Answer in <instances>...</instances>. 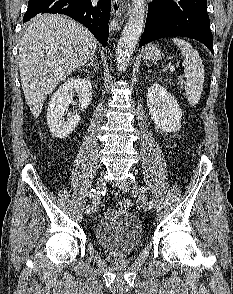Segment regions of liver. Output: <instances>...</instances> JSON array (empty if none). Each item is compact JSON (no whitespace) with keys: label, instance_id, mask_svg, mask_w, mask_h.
<instances>
[{"label":"liver","instance_id":"obj_1","mask_svg":"<svg viewBox=\"0 0 233 294\" xmlns=\"http://www.w3.org/2000/svg\"><path fill=\"white\" fill-rule=\"evenodd\" d=\"M97 40L83 25L65 16L41 14L31 20L20 42L21 85L32 115L56 86L92 60Z\"/></svg>","mask_w":233,"mask_h":294}]
</instances>
